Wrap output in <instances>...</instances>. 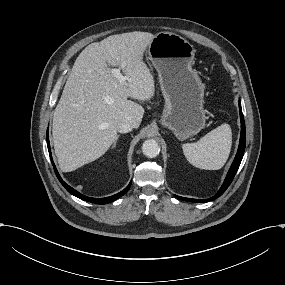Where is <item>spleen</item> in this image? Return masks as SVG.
<instances>
[{"mask_svg": "<svg viewBox=\"0 0 285 285\" xmlns=\"http://www.w3.org/2000/svg\"><path fill=\"white\" fill-rule=\"evenodd\" d=\"M231 142L230 126L222 123L198 141L182 144V150L191 165L205 170H217L226 162Z\"/></svg>", "mask_w": 285, "mask_h": 285, "instance_id": "obj_1", "label": "spleen"}]
</instances>
